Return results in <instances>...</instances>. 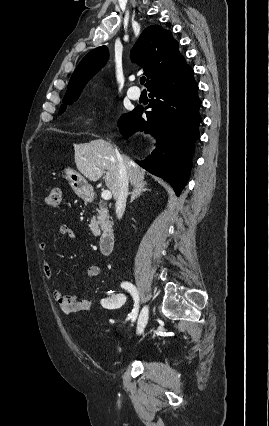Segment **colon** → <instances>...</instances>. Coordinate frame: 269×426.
<instances>
[{"instance_id": "obj_1", "label": "colon", "mask_w": 269, "mask_h": 426, "mask_svg": "<svg viewBox=\"0 0 269 426\" xmlns=\"http://www.w3.org/2000/svg\"><path fill=\"white\" fill-rule=\"evenodd\" d=\"M47 206L59 209L62 205V189L58 186L52 187L45 197Z\"/></svg>"}]
</instances>
